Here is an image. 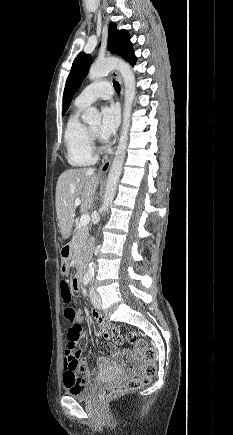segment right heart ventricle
Segmentation results:
<instances>
[{"label":"right heart ventricle","mask_w":233,"mask_h":435,"mask_svg":"<svg viewBox=\"0 0 233 435\" xmlns=\"http://www.w3.org/2000/svg\"><path fill=\"white\" fill-rule=\"evenodd\" d=\"M83 108L75 104L64 131L66 158L69 164L75 167L91 166L97 161V154L87 126L80 119Z\"/></svg>","instance_id":"right-heart-ventricle-1"}]
</instances>
